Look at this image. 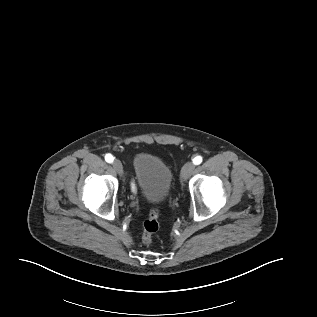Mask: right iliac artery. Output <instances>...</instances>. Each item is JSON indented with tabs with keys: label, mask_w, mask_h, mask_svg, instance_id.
Instances as JSON below:
<instances>
[{
	"label": "right iliac artery",
	"mask_w": 317,
	"mask_h": 317,
	"mask_svg": "<svg viewBox=\"0 0 317 317\" xmlns=\"http://www.w3.org/2000/svg\"><path fill=\"white\" fill-rule=\"evenodd\" d=\"M105 160L108 162V163H111L113 162L114 158L111 154H106L105 155Z\"/></svg>",
	"instance_id": "right-iliac-artery-1"
}]
</instances>
